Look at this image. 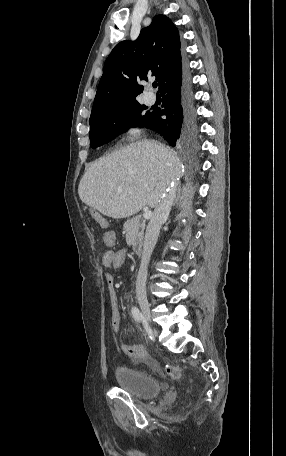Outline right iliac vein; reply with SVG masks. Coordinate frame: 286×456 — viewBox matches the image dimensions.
Segmentation results:
<instances>
[{"label":"right iliac vein","mask_w":286,"mask_h":456,"mask_svg":"<svg viewBox=\"0 0 286 456\" xmlns=\"http://www.w3.org/2000/svg\"><path fill=\"white\" fill-rule=\"evenodd\" d=\"M137 301L139 303L140 309L145 320L150 323L151 321V313H150V305L148 299L145 296H138Z\"/></svg>","instance_id":"63e3f726"}]
</instances>
